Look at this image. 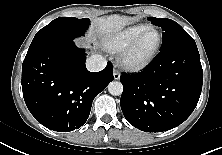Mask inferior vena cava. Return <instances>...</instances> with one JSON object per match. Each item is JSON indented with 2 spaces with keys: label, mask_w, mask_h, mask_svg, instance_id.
Instances as JSON below:
<instances>
[{
  "label": "inferior vena cava",
  "mask_w": 222,
  "mask_h": 155,
  "mask_svg": "<svg viewBox=\"0 0 222 155\" xmlns=\"http://www.w3.org/2000/svg\"><path fill=\"white\" fill-rule=\"evenodd\" d=\"M107 65L106 59L98 54H94L86 61V67L90 72H98L103 70Z\"/></svg>",
  "instance_id": "obj_1"
}]
</instances>
